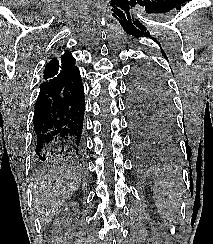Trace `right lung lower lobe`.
Segmentation results:
<instances>
[{"label":"right lung lower lobe","instance_id":"98d812e1","mask_svg":"<svg viewBox=\"0 0 213 244\" xmlns=\"http://www.w3.org/2000/svg\"><path fill=\"white\" fill-rule=\"evenodd\" d=\"M84 109V88L78 68L40 85L33 119L35 151L40 160L82 158Z\"/></svg>","mask_w":213,"mask_h":244}]
</instances>
